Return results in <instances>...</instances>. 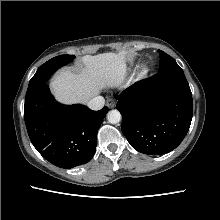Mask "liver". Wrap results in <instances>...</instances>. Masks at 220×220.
<instances>
[{"label":"liver","mask_w":220,"mask_h":220,"mask_svg":"<svg viewBox=\"0 0 220 220\" xmlns=\"http://www.w3.org/2000/svg\"><path fill=\"white\" fill-rule=\"evenodd\" d=\"M128 54L121 51L82 57L85 67L79 74L66 70L53 78V95L64 104H86L105 87H120L127 76Z\"/></svg>","instance_id":"liver-1"}]
</instances>
